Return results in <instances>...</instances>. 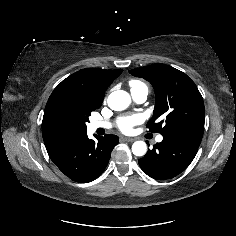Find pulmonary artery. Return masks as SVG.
<instances>
[{
    "label": "pulmonary artery",
    "instance_id": "obj_1",
    "mask_svg": "<svg viewBox=\"0 0 236 236\" xmlns=\"http://www.w3.org/2000/svg\"><path fill=\"white\" fill-rule=\"evenodd\" d=\"M132 97L133 99L137 102V103H143L146 101L147 96H148V92L144 91V90H139V91H131ZM92 128L93 129H98V128H109L110 124L106 123V122H100V121H94L92 122ZM163 140V136L162 135H158L156 137V142H161Z\"/></svg>",
    "mask_w": 236,
    "mask_h": 236
}]
</instances>
